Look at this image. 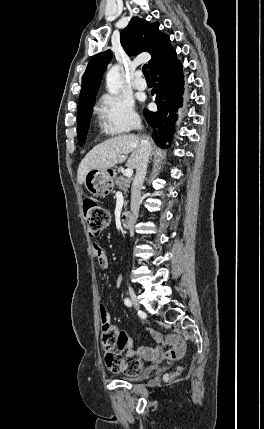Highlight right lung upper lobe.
I'll return each mask as SVG.
<instances>
[{
	"instance_id": "cb5924a9",
	"label": "right lung upper lobe",
	"mask_w": 264,
	"mask_h": 429,
	"mask_svg": "<svg viewBox=\"0 0 264 429\" xmlns=\"http://www.w3.org/2000/svg\"><path fill=\"white\" fill-rule=\"evenodd\" d=\"M159 23H149L133 17L120 35L121 45L129 55L141 52L151 54L148 70L151 72L172 50L168 35L161 33ZM110 50L96 54L88 63L82 80L78 107L95 101L106 66L111 61Z\"/></svg>"
}]
</instances>
